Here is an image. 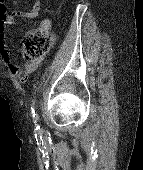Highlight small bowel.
Returning <instances> with one entry per match:
<instances>
[{
  "instance_id": "1",
  "label": "small bowel",
  "mask_w": 143,
  "mask_h": 170,
  "mask_svg": "<svg viewBox=\"0 0 143 170\" xmlns=\"http://www.w3.org/2000/svg\"><path fill=\"white\" fill-rule=\"evenodd\" d=\"M42 9L41 2H36L33 4L31 9L27 11H16L5 20L0 21V56L8 67L10 73L17 78H20L22 81L27 80V76L37 70L41 65L42 60H35L31 62H26L22 66L17 65L11 58L10 53L5 48L6 42V27L17 23L19 20H31L39 17ZM51 26L49 20H44L41 22V30L48 31Z\"/></svg>"
}]
</instances>
